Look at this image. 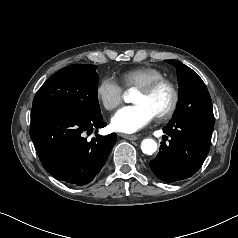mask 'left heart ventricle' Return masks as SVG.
<instances>
[{"mask_svg":"<svg viewBox=\"0 0 238 238\" xmlns=\"http://www.w3.org/2000/svg\"><path fill=\"white\" fill-rule=\"evenodd\" d=\"M171 92L166 86H162L152 94H145L137 91L134 97V103H144L148 105L157 115L165 111L171 103Z\"/></svg>","mask_w":238,"mask_h":238,"instance_id":"left-heart-ventricle-1","label":"left heart ventricle"}]
</instances>
